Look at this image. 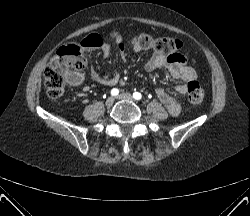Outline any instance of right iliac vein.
Masks as SVG:
<instances>
[{
	"mask_svg": "<svg viewBox=\"0 0 250 216\" xmlns=\"http://www.w3.org/2000/svg\"><path fill=\"white\" fill-rule=\"evenodd\" d=\"M114 100H115L114 97L107 98V100L105 102L106 106L111 107L114 104Z\"/></svg>",
	"mask_w": 250,
	"mask_h": 216,
	"instance_id": "obj_1",
	"label": "right iliac vein"
}]
</instances>
